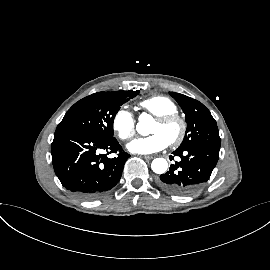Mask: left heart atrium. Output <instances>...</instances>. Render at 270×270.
<instances>
[{"label":"left heart atrium","instance_id":"left-heart-atrium-1","mask_svg":"<svg viewBox=\"0 0 270 270\" xmlns=\"http://www.w3.org/2000/svg\"><path fill=\"white\" fill-rule=\"evenodd\" d=\"M169 142L161 134L139 137L128 143L127 148L136 154H152L164 150Z\"/></svg>","mask_w":270,"mask_h":270}]
</instances>
